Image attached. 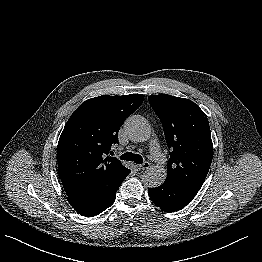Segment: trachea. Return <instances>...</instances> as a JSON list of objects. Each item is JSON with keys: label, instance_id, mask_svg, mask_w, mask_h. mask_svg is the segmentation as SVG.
Segmentation results:
<instances>
[{"label": "trachea", "instance_id": "obj_1", "mask_svg": "<svg viewBox=\"0 0 262 262\" xmlns=\"http://www.w3.org/2000/svg\"><path fill=\"white\" fill-rule=\"evenodd\" d=\"M122 160L126 161H132L137 164H142L143 163V158L139 154H134L132 152H126L120 156Z\"/></svg>", "mask_w": 262, "mask_h": 262}]
</instances>
